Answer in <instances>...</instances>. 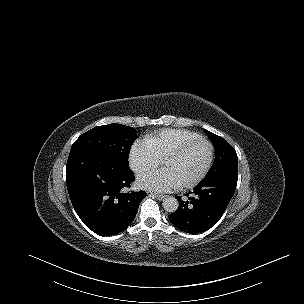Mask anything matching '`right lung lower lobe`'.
<instances>
[{"mask_svg":"<svg viewBox=\"0 0 304 304\" xmlns=\"http://www.w3.org/2000/svg\"><path fill=\"white\" fill-rule=\"evenodd\" d=\"M112 166L110 155L80 150L69 155L66 167L67 188L75 211L88 228L102 236L126 228L146 197L144 191L124 193L122 188L130 186L134 175L130 169Z\"/></svg>","mask_w":304,"mask_h":304,"instance_id":"1","label":"right lung lower lobe"}]
</instances>
